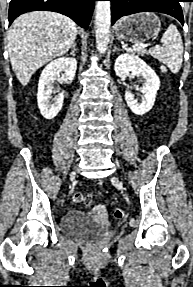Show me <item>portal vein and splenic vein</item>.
<instances>
[{"label":"portal vein and splenic vein","mask_w":193,"mask_h":287,"mask_svg":"<svg viewBox=\"0 0 193 287\" xmlns=\"http://www.w3.org/2000/svg\"><path fill=\"white\" fill-rule=\"evenodd\" d=\"M146 46H148V45H141V46H136V47H133V48H125V49L128 50V51H136L138 49H144Z\"/></svg>","instance_id":"18ae733b"}]
</instances>
